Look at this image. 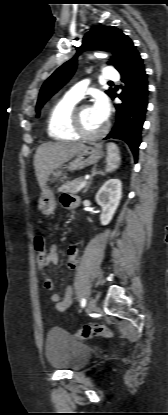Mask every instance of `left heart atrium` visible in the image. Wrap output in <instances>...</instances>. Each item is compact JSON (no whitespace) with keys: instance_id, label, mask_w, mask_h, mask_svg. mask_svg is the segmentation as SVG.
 Masks as SVG:
<instances>
[{"instance_id":"left-heart-atrium-1","label":"left heart atrium","mask_w":168,"mask_h":415,"mask_svg":"<svg viewBox=\"0 0 168 415\" xmlns=\"http://www.w3.org/2000/svg\"><path fill=\"white\" fill-rule=\"evenodd\" d=\"M91 108L95 118L99 122L104 123L107 120L110 108L108 100L103 94L98 93L95 95Z\"/></svg>"}]
</instances>
